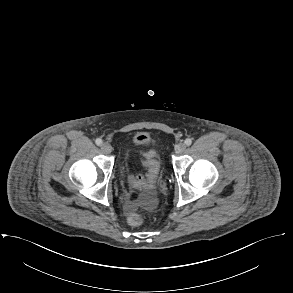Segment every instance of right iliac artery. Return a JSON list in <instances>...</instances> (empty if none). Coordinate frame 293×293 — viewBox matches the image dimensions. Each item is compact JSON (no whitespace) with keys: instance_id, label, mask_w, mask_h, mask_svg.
I'll use <instances>...</instances> for the list:
<instances>
[{"instance_id":"obj_1","label":"right iliac artery","mask_w":293,"mask_h":293,"mask_svg":"<svg viewBox=\"0 0 293 293\" xmlns=\"http://www.w3.org/2000/svg\"><path fill=\"white\" fill-rule=\"evenodd\" d=\"M95 143H96L98 146H100V145H102V140L98 138V139H96Z\"/></svg>"}]
</instances>
